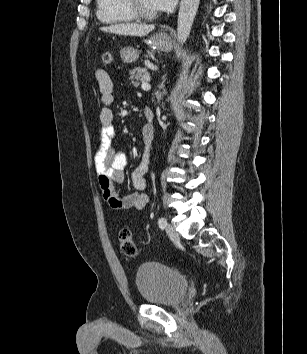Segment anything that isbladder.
<instances>
[{"mask_svg": "<svg viewBox=\"0 0 307 354\" xmlns=\"http://www.w3.org/2000/svg\"><path fill=\"white\" fill-rule=\"evenodd\" d=\"M135 283L142 299L156 305L178 304L189 286L185 275L159 262L141 264L135 274Z\"/></svg>", "mask_w": 307, "mask_h": 354, "instance_id": "31cf9c89", "label": "bladder"}]
</instances>
